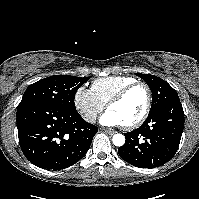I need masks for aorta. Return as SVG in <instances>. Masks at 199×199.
Here are the masks:
<instances>
[{"mask_svg": "<svg viewBox=\"0 0 199 199\" xmlns=\"http://www.w3.org/2000/svg\"><path fill=\"white\" fill-rule=\"evenodd\" d=\"M112 142L115 146L121 147L125 143V137L122 134H115L112 138Z\"/></svg>", "mask_w": 199, "mask_h": 199, "instance_id": "762f6f07", "label": "aorta"}]
</instances>
